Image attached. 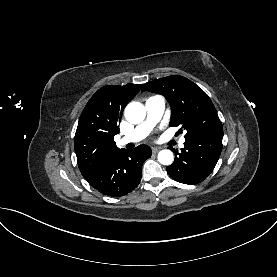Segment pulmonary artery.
<instances>
[{
	"label": "pulmonary artery",
	"mask_w": 277,
	"mask_h": 277,
	"mask_svg": "<svg viewBox=\"0 0 277 277\" xmlns=\"http://www.w3.org/2000/svg\"><path fill=\"white\" fill-rule=\"evenodd\" d=\"M145 109L147 113L146 120L137 126L129 135L120 140V144L135 143L143 140L152 130V128L161 119L164 109L165 101L160 96H153L146 100ZM185 138H181L179 146L184 147Z\"/></svg>",
	"instance_id": "obj_1"
}]
</instances>
